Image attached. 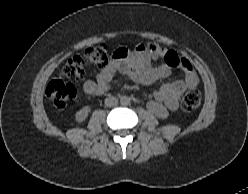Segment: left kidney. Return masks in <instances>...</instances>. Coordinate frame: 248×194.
Masks as SVG:
<instances>
[{
	"label": "left kidney",
	"mask_w": 248,
	"mask_h": 194,
	"mask_svg": "<svg viewBox=\"0 0 248 194\" xmlns=\"http://www.w3.org/2000/svg\"><path fill=\"white\" fill-rule=\"evenodd\" d=\"M156 115L159 116V117L162 116V114L161 113H158V112L156 113Z\"/></svg>",
	"instance_id": "1"
}]
</instances>
